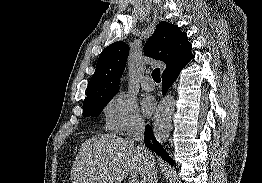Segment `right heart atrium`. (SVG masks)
I'll use <instances>...</instances> for the list:
<instances>
[{
	"label": "right heart atrium",
	"instance_id": "1",
	"mask_svg": "<svg viewBox=\"0 0 262 183\" xmlns=\"http://www.w3.org/2000/svg\"><path fill=\"white\" fill-rule=\"evenodd\" d=\"M105 129L118 135L141 131L145 122L137 103L124 93L113 95L104 107Z\"/></svg>",
	"mask_w": 262,
	"mask_h": 183
}]
</instances>
